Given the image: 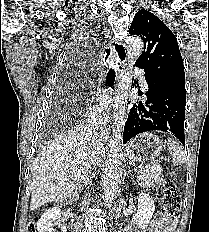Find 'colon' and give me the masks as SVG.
Wrapping results in <instances>:
<instances>
[{
  "label": "colon",
  "mask_w": 209,
  "mask_h": 232,
  "mask_svg": "<svg viewBox=\"0 0 209 232\" xmlns=\"http://www.w3.org/2000/svg\"><path fill=\"white\" fill-rule=\"evenodd\" d=\"M181 195L178 187L171 180L166 181L163 189V218L167 221H175L180 213ZM27 232H36L33 223Z\"/></svg>",
  "instance_id": "5ec220e1"
}]
</instances>
